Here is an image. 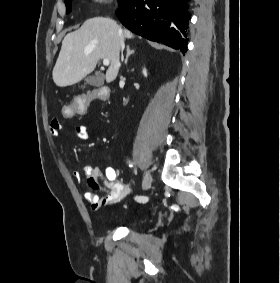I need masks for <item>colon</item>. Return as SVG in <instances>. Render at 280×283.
Returning <instances> with one entry per match:
<instances>
[{"label": "colon", "instance_id": "obj_1", "mask_svg": "<svg viewBox=\"0 0 280 283\" xmlns=\"http://www.w3.org/2000/svg\"><path fill=\"white\" fill-rule=\"evenodd\" d=\"M108 87H97L91 91L90 95L76 94L73 103L61 105L62 119H73V116H83L84 109L89 105L93 98L104 99L108 95Z\"/></svg>", "mask_w": 280, "mask_h": 283}]
</instances>
